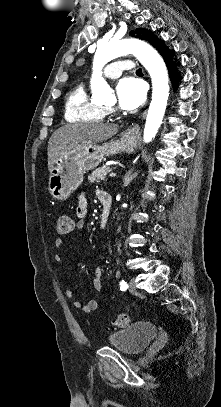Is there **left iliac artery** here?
Returning a JSON list of instances; mask_svg holds the SVG:
<instances>
[{
	"mask_svg": "<svg viewBox=\"0 0 221 407\" xmlns=\"http://www.w3.org/2000/svg\"><path fill=\"white\" fill-rule=\"evenodd\" d=\"M127 288H128L127 283H126L124 280H122V281L120 282V290H121V291H124V290H126Z\"/></svg>",
	"mask_w": 221,
	"mask_h": 407,
	"instance_id": "1",
	"label": "left iliac artery"
}]
</instances>
